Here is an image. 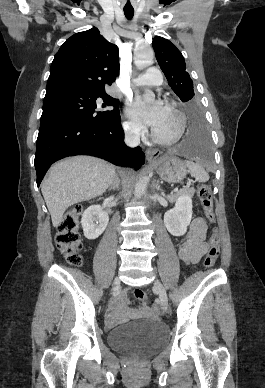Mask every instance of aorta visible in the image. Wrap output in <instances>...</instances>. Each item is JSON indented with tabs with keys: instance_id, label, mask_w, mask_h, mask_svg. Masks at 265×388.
Returning a JSON list of instances; mask_svg holds the SVG:
<instances>
[{
	"instance_id": "762f6f07",
	"label": "aorta",
	"mask_w": 265,
	"mask_h": 388,
	"mask_svg": "<svg viewBox=\"0 0 265 388\" xmlns=\"http://www.w3.org/2000/svg\"><path fill=\"white\" fill-rule=\"evenodd\" d=\"M154 58V53L152 50H144L140 51L136 55L135 64L139 69H143L152 64ZM154 98V94L150 91L145 93L146 100H152ZM149 183V178L146 175H142L138 178L135 184V197L140 198L146 191L147 185Z\"/></svg>"
}]
</instances>
